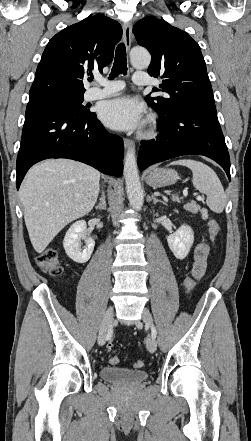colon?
<instances>
[{
    "label": "colon",
    "mask_w": 251,
    "mask_h": 441,
    "mask_svg": "<svg viewBox=\"0 0 251 441\" xmlns=\"http://www.w3.org/2000/svg\"><path fill=\"white\" fill-rule=\"evenodd\" d=\"M208 230L209 235L212 240H214L217 235L220 232V226L218 222L214 219H210L208 221ZM37 264L40 267L42 271L45 273H48L49 275L53 277H59L63 273V268L59 262L58 258V252L54 248H48L45 251H43L38 257H37ZM195 285V281L193 278H187L185 280V288L187 291H191ZM114 348V344L112 341H110L107 344V350L111 351ZM119 362L118 357L112 356L109 358V363L112 365H115ZM144 363L141 360H137L133 363V366L135 368H141L143 367Z\"/></svg>",
    "instance_id": "5ec220e1"
}]
</instances>
